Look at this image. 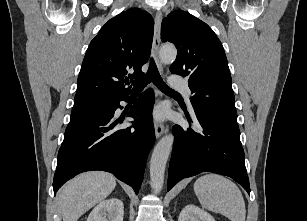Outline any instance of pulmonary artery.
I'll list each match as a JSON object with an SVG mask.
<instances>
[{
  "label": "pulmonary artery",
  "instance_id": "obj_1",
  "mask_svg": "<svg viewBox=\"0 0 307 221\" xmlns=\"http://www.w3.org/2000/svg\"><path fill=\"white\" fill-rule=\"evenodd\" d=\"M171 84L174 88L183 92L187 97L191 95V90L186 82L177 80L176 77L174 76L171 80Z\"/></svg>",
  "mask_w": 307,
  "mask_h": 221
}]
</instances>
